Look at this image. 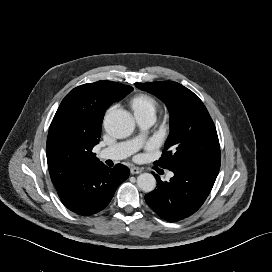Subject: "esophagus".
<instances>
[{
    "label": "esophagus",
    "instance_id": "esophagus-1",
    "mask_svg": "<svg viewBox=\"0 0 272 272\" xmlns=\"http://www.w3.org/2000/svg\"><path fill=\"white\" fill-rule=\"evenodd\" d=\"M141 172H142V169L139 168V167H131V169H130V173L132 175H134V174H140Z\"/></svg>",
    "mask_w": 272,
    "mask_h": 272
}]
</instances>
